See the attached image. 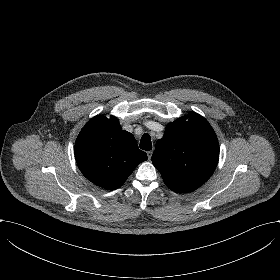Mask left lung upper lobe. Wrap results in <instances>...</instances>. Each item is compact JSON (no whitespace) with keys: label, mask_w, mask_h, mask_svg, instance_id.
<instances>
[{"label":"left lung upper lobe","mask_w":280,"mask_h":280,"mask_svg":"<svg viewBox=\"0 0 280 280\" xmlns=\"http://www.w3.org/2000/svg\"><path fill=\"white\" fill-rule=\"evenodd\" d=\"M189 118L166 126L151 158L167 187L181 193L204 184L219 159L218 139L210 124L195 112H190Z\"/></svg>","instance_id":"left-lung-upper-lobe-1"}]
</instances>
